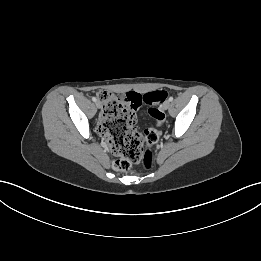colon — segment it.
<instances>
[{
  "label": "colon",
  "mask_w": 261,
  "mask_h": 261,
  "mask_svg": "<svg viewBox=\"0 0 261 261\" xmlns=\"http://www.w3.org/2000/svg\"><path fill=\"white\" fill-rule=\"evenodd\" d=\"M166 96L167 92L164 90L144 95L129 93L125 99L109 91L98 93L103 106L99 130L110 139L112 151L116 156L112 166L116 171H127L136 163H141L144 168L151 167L152 146L158 141L160 133L155 128H149L146 129V135H141L134 126L133 111L142 102L156 105L161 103ZM149 114L158 123H164L167 120V115L162 108L152 107L149 109Z\"/></svg>",
  "instance_id": "5ec220e1"
}]
</instances>
